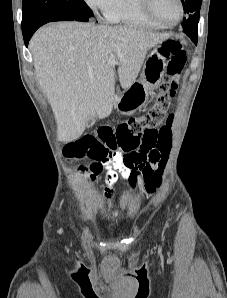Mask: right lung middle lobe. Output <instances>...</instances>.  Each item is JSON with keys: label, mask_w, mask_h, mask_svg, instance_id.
Here are the masks:
<instances>
[{"label": "right lung middle lobe", "mask_w": 227, "mask_h": 298, "mask_svg": "<svg viewBox=\"0 0 227 298\" xmlns=\"http://www.w3.org/2000/svg\"><path fill=\"white\" fill-rule=\"evenodd\" d=\"M93 17L84 0H23L22 31L52 21L78 20Z\"/></svg>", "instance_id": "dd1d6c3e"}]
</instances>
